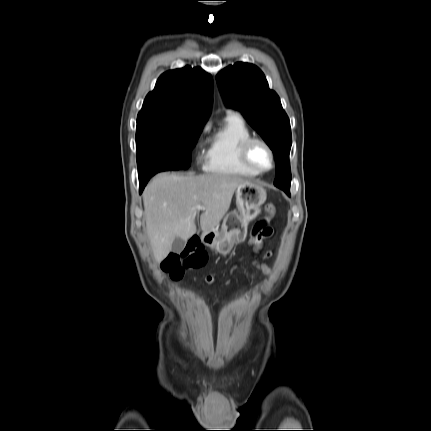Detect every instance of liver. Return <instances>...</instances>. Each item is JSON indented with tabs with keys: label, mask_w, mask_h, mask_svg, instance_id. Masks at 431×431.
Listing matches in <instances>:
<instances>
[{
	"label": "liver",
	"mask_w": 431,
	"mask_h": 431,
	"mask_svg": "<svg viewBox=\"0 0 431 431\" xmlns=\"http://www.w3.org/2000/svg\"><path fill=\"white\" fill-rule=\"evenodd\" d=\"M248 182L226 174L155 176L143 192L146 229L154 259L164 260L176 237L187 240L196 233L198 204L204 208L200 216L203 234L214 231L229 210L235 190Z\"/></svg>",
	"instance_id": "6515ba94"
}]
</instances>
